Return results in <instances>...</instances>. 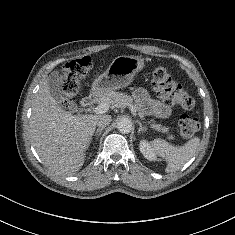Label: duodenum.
Here are the masks:
<instances>
[{"label":"duodenum","instance_id":"obj_1","mask_svg":"<svg viewBox=\"0 0 235 235\" xmlns=\"http://www.w3.org/2000/svg\"><path fill=\"white\" fill-rule=\"evenodd\" d=\"M96 101H97V94L95 92H91L82 99L81 105L84 108H88L93 106L96 103Z\"/></svg>","mask_w":235,"mask_h":235}]
</instances>
